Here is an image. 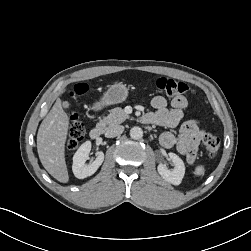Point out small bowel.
Wrapping results in <instances>:
<instances>
[{
  "label": "small bowel",
  "mask_w": 251,
  "mask_h": 251,
  "mask_svg": "<svg viewBox=\"0 0 251 251\" xmlns=\"http://www.w3.org/2000/svg\"><path fill=\"white\" fill-rule=\"evenodd\" d=\"M151 105L155 111L146 114L151 119V124L175 128L184 117V110L188 101L184 96H176L168 104L163 96H155ZM204 134L205 131L201 128L198 120H187L181 124L177 135L171 131L163 132L160 136V143L165 148L176 147L187 162L193 164L198 145Z\"/></svg>",
  "instance_id": "obj_1"
}]
</instances>
